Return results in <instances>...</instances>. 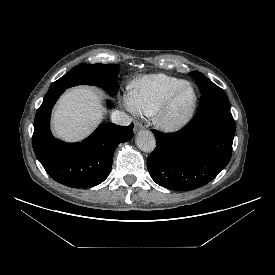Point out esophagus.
<instances>
[{
  "label": "esophagus",
  "instance_id": "1",
  "mask_svg": "<svg viewBox=\"0 0 275 275\" xmlns=\"http://www.w3.org/2000/svg\"><path fill=\"white\" fill-rule=\"evenodd\" d=\"M140 129H143V125L140 122H135L134 131L137 132Z\"/></svg>",
  "mask_w": 275,
  "mask_h": 275
}]
</instances>
